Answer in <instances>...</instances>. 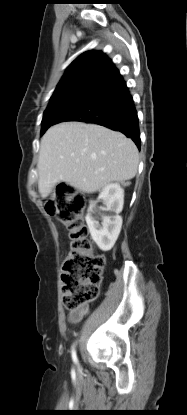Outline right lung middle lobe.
Instances as JSON below:
<instances>
[{"instance_id":"dd1d6c3e","label":"right lung middle lobe","mask_w":187,"mask_h":415,"mask_svg":"<svg viewBox=\"0 0 187 415\" xmlns=\"http://www.w3.org/2000/svg\"><path fill=\"white\" fill-rule=\"evenodd\" d=\"M62 101H58L55 104L49 106L43 116V120H42V128H41V135H43L45 133V131L47 130V128L49 127L50 124V115L52 114V112H54L58 106L60 104H62Z\"/></svg>"}]
</instances>
